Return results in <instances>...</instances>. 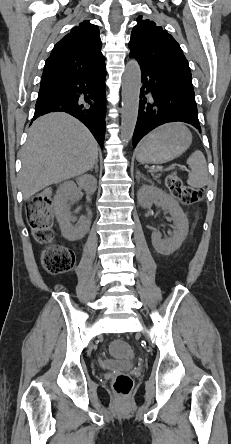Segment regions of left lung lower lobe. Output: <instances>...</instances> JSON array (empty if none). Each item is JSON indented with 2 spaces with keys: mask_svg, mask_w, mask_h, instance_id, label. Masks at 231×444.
Returning a JSON list of instances; mask_svg holds the SVG:
<instances>
[{
  "mask_svg": "<svg viewBox=\"0 0 231 444\" xmlns=\"http://www.w3.org/2000/svg\"><path fill=\"white\" fill-rule=\"evenodd\" d=\"M140 68L143 85L133 146L148 132L167 122H186L201 131L193 86L179 81L167 71Z\"/></svg>",
  "mask_w": 231,
  "mask_h": 444,
  "instance_id": "0a47b994",
  "label": "left lung lower lobe"
}]
</instances>
